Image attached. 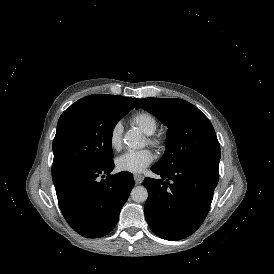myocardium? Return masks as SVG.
<instances>
[{
    "instance_id": "myocardium-1",
    "label": "myocardium",
    "mask_w": 274,
    "mask_h": 274,
    "mask_svg": "<svg viewBox=\"0 0 274 274\" xmlns=\"http://www.w3.org/2000/svg\"><path fill=\"white\" fill-rule=\"evenodd\" d=\"M148 143L153 147H159L162 145L163 141L159 138H152L148 140Z\"/></svg>"
}]
</instances>
